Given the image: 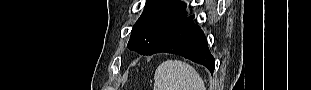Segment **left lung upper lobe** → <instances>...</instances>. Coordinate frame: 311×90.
I'll use <instances>...</instances> for the list:
<instances>
[{
	"label": "left lung upper lobe",
	"mask_w": 311,
	"mask_h": 90,
	"mask_svg": "<svg viewBox=\"0 0 311 90\" xmlns=\"http://www.w3.org/2000/svg\"><path fill=\"white\" fill-rule=\"evenodd\" d=\"M186 5L179 0H148L133 26L127 47L149 55L167 33L186 17Z\"/></svg>",
	"instance_id": "left-lung-upper-lobe-1"
}]
</instances>
